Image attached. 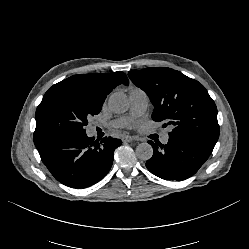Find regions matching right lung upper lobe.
Returning <instances> with one entry per match:
<instances>
[{"instance_id":"cb5924a9","label":"right lung upper lobe","mask_w":249,"mask_h":249,"mask_svg":"<svg viewBox=\"0 0 249 249\" xmlns=\"http://www.w3.org/2000/svg\"><path fill=\"white\" fill-rule=\"evenodd\" d=\"M120 84L128 85L125 73H91L71 76L53 85L45 94L59 90H75L86 95L92 102L102 106L107 95Z\"/></svg>"}]
</instances>
